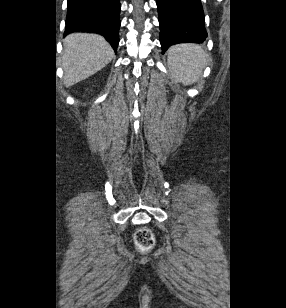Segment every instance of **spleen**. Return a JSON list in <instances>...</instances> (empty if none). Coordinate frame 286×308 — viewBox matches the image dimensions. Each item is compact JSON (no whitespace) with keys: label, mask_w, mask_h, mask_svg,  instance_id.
<instances>
[{"label":"spleen","mask_w":286,"mask_h":308,"mask_svg":"<svg viewBox=\"0 0 286 308\" xmlns=\"http://www.w3.org/2000/svg\"><path fill=\"white\" fill-rule=\"evenodd\" d=\"M206 53L199 45L183 43L168 51V66L172 77L184 85H191L202 75L206 66Z\"/></svg>","instance_id":"3e777b00"}]
</instances>
